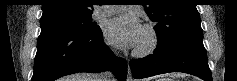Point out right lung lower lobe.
<instances>
[{
    "instance_id": "right-lung-lower-lobe-1",
    "label": "right lung lower lobe",
    "mask_w": 237,
    "mask_h": 81,
    "mask_svg": "<svg viewBox=\"0 0 237 81\" xmlns=\"http://www.w3.org/2000/svg\"><path fill=\"white\" fill-rule=\"evenodd\" d=\"M105 70H111L119 81L126 80L127 63L104 44L102 31L83 34L61 28L41 30L31 81H54L77 72Z\"/></svg>"
}]
</instances>
